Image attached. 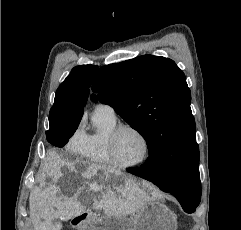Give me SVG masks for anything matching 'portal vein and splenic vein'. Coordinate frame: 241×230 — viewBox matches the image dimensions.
I'll use <instances>...</instances> for the list:
<instances>
[{
	"instance_id": "1",
	"label": "portal vein and splenic vein",
	"mask_w": 241,
	"mask_h": 230,
	"mask_svg": "<svg viewBox=\"0 0 241 230\" xmlns=\"http://www.w3.org/2000/svg\"><path fill=\"white\" fill-rule=\"evenodd\" d=\"M92 189L97 190L98 188H92Z\"/></svg>"
}]
</instances>
